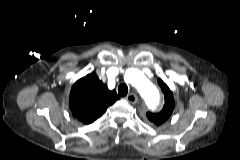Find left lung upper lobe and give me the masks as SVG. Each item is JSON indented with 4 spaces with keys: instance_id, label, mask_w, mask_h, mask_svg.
<instances>
[{
    "instance_id": "5c2ea615",
    "label": "left lung upper lobe",
    "mask_w": 240,
    "mask_h": 160,
    "mask_svg": "<svg viewBox=\"0 0 240 160\" xmlns=\"http://www.w3.org/2000/svg\"><path fill=\"white\" fill-rule=\"evenodd\" d=\"M158 84L160 85L164 93L165 97L164 107L160 112H148L146 114L148 120L157 126L161 125L162 123L168 120V118L171 116L173 112L175 104L173 94L170 91L169 87L161 79H158Z\"/></svg>"
}]
</instances>
